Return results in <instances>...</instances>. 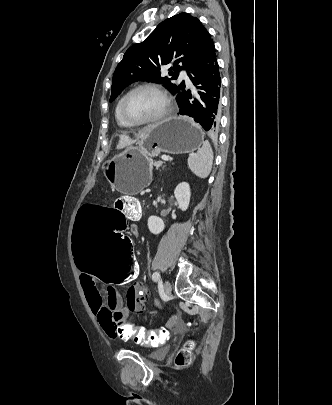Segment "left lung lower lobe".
<instances>
[{
    "mask_svg": "<svg viewBox=\"0 0 332 405\" xmlns=\"http://www.w3.org/2000/svg\"><path fill=\"white\" fill-rule=\"evenodd\" d=\"M188 76L195 87L177 98L179 113L192 117L206 131L215 133L220 120L221 78L214 44Z\"/></svg>",
    "mask_w": 332,
    "mask_h": 405,
    "instance_id": "left-lung-lower-lobe-1",
    "label": "left lung lower lobe"
}]
</instances>
